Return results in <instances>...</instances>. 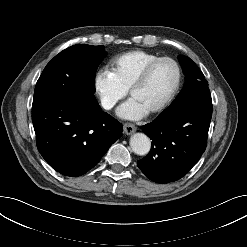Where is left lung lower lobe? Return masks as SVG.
<instances>
[{"mask_svg": "<svg viewBox=\"0 0 247 247\" xmlns=\"http://www.w3.org/2000/svg\"><path fill=\"white\" fill-rule=\"evenodd\" d=\"M211 117L209 89L164 110L153 122L142 126L152 140V147L137 162L138 167L150 180L161 184L185 176L206 149Z\"/></svg>", "mask_w": 247, "mask_h": 247, "instance_id": "1", "label": "left lung lower lobe"}]
</instances>
